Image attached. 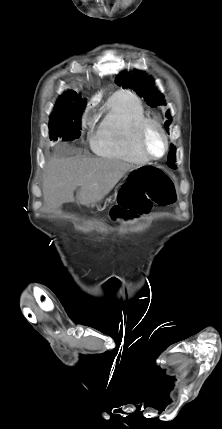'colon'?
<instances>
[{"label": "colon", "instance_id": "colon-1", "mask_svg": "<svg viewBox=\"0 0 222 429\" xmlns=\"http://www.w3.org/2000/svg\"><path fill=\"white\" fill-rule=\"evenodd\" d=\"M175 200L174 185L167 173L153 165H141L131 172L121 188L111 214L114 218L133 217L147 213L153 204L169 206Z\"/></svg>", "mask_w": 222, "mask_h": 429}]
</instances>
